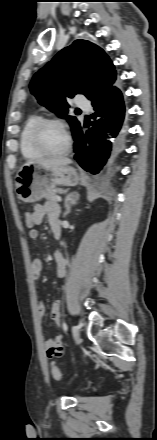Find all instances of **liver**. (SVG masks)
<instances>
[{
  "label": "liver",
  "mask_w": 157,
  "mask_h": 440,
  "mask_svg": "<svg viewBox=\"0 0 157 440\" xmlns=\"http://www.w3.org/2000/svg\"><path fill=\"white\" fill-rule=\"evenodd\" d=\"M71 162H72L71 159L66 158V157H62V158L39 159V160H36V161H29L25 165H30V164H33V163H37V164H43L47 168H51V167H59V166L68 165Z\"/></svg>",
  "instance_id": "1"
}]
</instances>
